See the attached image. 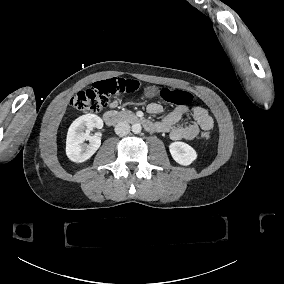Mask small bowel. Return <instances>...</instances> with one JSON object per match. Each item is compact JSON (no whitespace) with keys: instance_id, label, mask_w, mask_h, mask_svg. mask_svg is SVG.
I'll return each instance as SVG.
<instances>
[{"instance_id":"small-bowel-1","label":"small bowel","mask_w":284,"mask_h":284,"mask_svg":"<svg viewBox=\"0 0 284 284\" xmlns=\"http://www.w3.org/2000/svg\"><path fill=\"white\" fill-rule=\"evenodd\" d=\"M118 106L115 99L110 103L111 108ZM150 114H159L163 111V107L159 103H150L147 106ZM188 113L191 114L192 122L185 126L177 125L178 121L184 118ZM149 131L166 133L172 140H192L197 137L200 130L211 131L214 127V120L210 116L207 109L201 106L187 107L178 106L173 109L165 118L157 122H150Z\"/></svg>"}]
</instances>
